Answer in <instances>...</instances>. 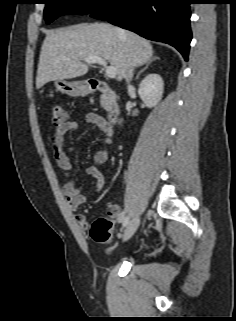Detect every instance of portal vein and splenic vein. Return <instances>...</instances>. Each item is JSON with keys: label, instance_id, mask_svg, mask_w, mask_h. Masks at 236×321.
I'll return each instance as SVG.
<instances>
[{"label": "portal vein and splenic vein", "instance_id": "18ae733b", "mask_svg": "<svg viewBox=\"0 0 236 321\" xmlns=\"http://www.w3.org/2000/svg\"><path fill=\"white\" fill-rule=\"evenodd\" d=\"M85 63L87 64L97 63L99 65H102L103 69L105 70L106 76L109 78H114L117 75L115 67L108 66L106 61L101 57H98V56L88 57L85 59Z\"/></svg>", "mask_w": 236, "mask_h": 321}]
</instances>
